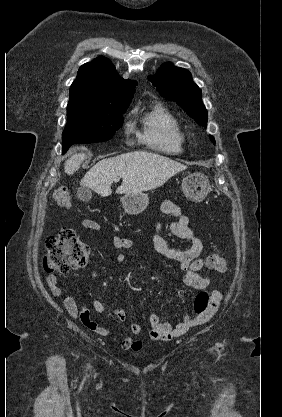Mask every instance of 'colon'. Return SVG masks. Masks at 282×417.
<instances>
[{"label":"colon","mask_w":282,"mask_h":417,"mask_svg":"<svg viewBox=\"0 0 282 417\" xmlns=\"http://www.w3.org/2000/svg\"><path fill=\"white\" fill-rule=\"evenodd\" d=\"M52 196L57 207L68 208L71 205L70 194L65 186L59 185L53 188ZM47 253L43 258V269L46 272L65 273L86 265L90 252L85 242L74 236L69 229H64L57 235L46 239ZM226 261L214 254L209 259V267L217 272L225 269ZM210 303L207 292L199 293L194 300V311L200 315L204 313Z\"/></svg>","instance_id":"5ec220e1"}]
</instances>
